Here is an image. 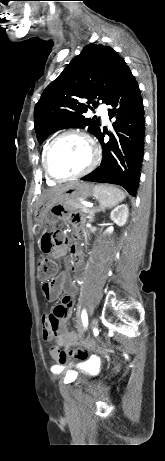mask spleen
<instances>
[{"mask_svg":"<svg viewBox=\"0 0 165 461\" xmlns=\"http://www.w3.org/2000/svg\"><path fill=\"white\" fill-rule=\"evenodd\" d=\"M95 197L98 199L102 208H113L126 198V194L113 185H97L95 187Z\"/></svg>","mask_w":165,"mask_h":461,"instance_id":"1","label":"spleen"}]
</instances>
